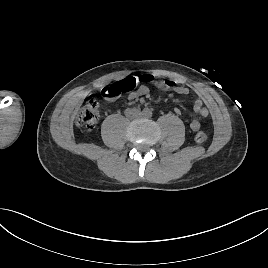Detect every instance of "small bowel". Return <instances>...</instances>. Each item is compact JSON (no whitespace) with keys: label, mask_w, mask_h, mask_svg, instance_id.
<instances>
[{"label":"small bowel","mask_w":268,"mask_h":268,"mask_svg":"<svg viewBox=\"0 0 268 268\" xmlns=\"http://www.w3.org/2000/svg\"><path fill=\"white\" fill-rule=\"evenodd\" d=\"M171 82V81H170ZM161 88L166 91H174L180 95H187L190 92V89L183 85H177L171 82L170 86L165 85V81L160 84ZM149 93V88L141 84L135 90L130 92L127 96L128 100H135L139 97L145 96ZM194 113L198 116L197 119H194L190 122L189 127L192 131H197L201 127V120L206 118L209 115L208 109L204 106L201 99H196L193 103ZM179 109H176V113H179Z\"/></svg>","instance_id":"c3829d8e"}]
</instances>
